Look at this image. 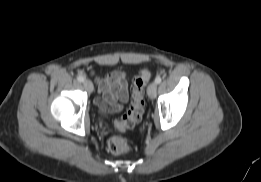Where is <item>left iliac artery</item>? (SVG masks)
Instances as JSON below:
<instances>
[{"mask_svg": "<svg viewBox=\"0 0 261 182\" xmlns=\"http://www.w3.org/2000/svg\"><path fill=\"white\" fill-rule=\"evenodd\" d=\"M161 81H162V78H161L160 76H157V77L155 78V83H156V84H160Z\"/></svg>", "mask_w": 261, "mask_h": 182, "instance_id": "44dca946", "label": "left iliac artery"}]
</instances>
